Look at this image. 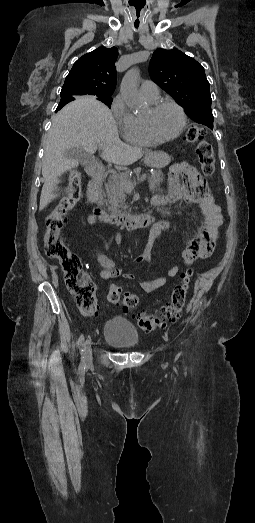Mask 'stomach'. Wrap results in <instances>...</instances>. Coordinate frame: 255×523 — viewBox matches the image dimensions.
<instances>
[{
	"mask_svg": "<svg viewBox=\"0 0 255 523\" xmlns=\"http://www.w3.org/2000/svg\"><path fill=\"white\" fill-rule=\"evenodd\" d=\"M172 158V155L169 151H159L158 154H147L144 158L146 166L149 168H154V170H159V168H164V162H169Z\"/></svg>",
	"mask_w": 255,
	"mask_h": 523,
	"instance_id": "1",
	"label": "stomach"
}]
</instances>
